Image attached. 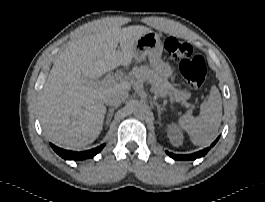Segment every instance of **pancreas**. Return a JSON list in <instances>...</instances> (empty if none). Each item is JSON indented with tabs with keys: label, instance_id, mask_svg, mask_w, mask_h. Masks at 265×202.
<instances>
[{
	"label": "pancreas",
	"instance_id": "cf45deb5",
	"mask_svg": "<svg viewBox=\"0 0 265 202\" xmlns=\"http://www.w3.org/2000/svg\"><path fill=\"white\" fill-rule=\"evenodd\" d=\"M132 74L140 82L148 81L151 84L153 91L160 96H166L173 88L168 81L163 79L147 66L134 68ZM180 94L182 95V97L188 95L182 92H180Z\"/></svg>",
	"mask_w": 265,
	"mask_h": 202
}]
</instances>
